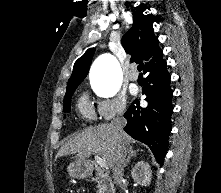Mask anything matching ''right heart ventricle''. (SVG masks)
Listing matches in <instances>:
<instances>
[{"instance_id":"obj_1","label":"right heart ventricle","mask_w":221,"mask_h":193,"mask_svg":"<svg viewBox=\"0 0 221 193\" xmlns=\"http://www.w3.org/2000/svg\"><path fill=\"white\" fill-rule=\"evenodd\" d=\"M77 107L79 113L84 119L89 121L93 120L95 113L94 108L85 98L79 99Z\"/></svg>"}]
</instances>
